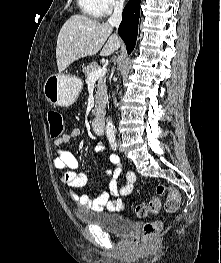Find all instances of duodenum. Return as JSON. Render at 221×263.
Here are the masks:
<instances>
[{
  "instance_id": "410a0bca",
  "label": "duodenum",
  "mask_w": 221,
  "mask_h": 263,
  "mask_svg": "<svg viewBox=\"0 0 221 263\" xmlns=\"http://www.w3.org/2000/svg\"><path fill=\"white\" fill-rule=\"evenodd\" d=\"M93 131L97 134H103L105 130V117H96L92 121Z\"/></svg>"
}]
</instances>
